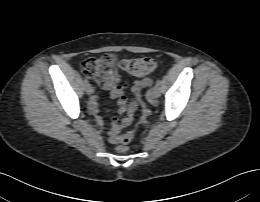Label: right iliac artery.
Returning <instances> with one entry per match:
<instances>
[{"label":"right iliac artery","instance_id":"obj_1","mask_svg":"<svg viewBox=\"0 0 260 202\" xmlns=\"http://www.w3.org/2000/svg\"><path fill=\"white\" fill-rule=\"evenodd\" d=\"M84 84L88 85V80L87 79L84 80Z\"/></svg>","mask_w":260,"mask_h":202}]
</instances>
